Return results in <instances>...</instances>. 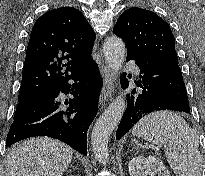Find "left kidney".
Returning <instances> with one entry per match:
<instances>
[{
    "instance_id": "left-kidney-1",
    "label": "left kidney",
    "mask_w": 205,
    "mask_h": 176,
    "mask_svg": "<svg viewBox=\"0 0 205 176\" xmlns=\"http://www.w3.org/2000/svg\"><path fill=\"white\" fill-rule=\"evenodd\" d=\"M130 176H147L148 174H157L158 176H170L164 163L154 156L147 158L143 156L134 157L128 164Z\"/></svg>"
}]
</instances>
